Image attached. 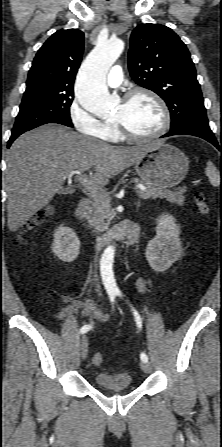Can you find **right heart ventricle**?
Returning <instances> with one entry per match:
<instances>
[{
  "label": "right heart ventricle",
  "instance_id": "1",
  "mask_svg": "<svg viewBox=\"0 0 222 447\" xmlns=\"http://www.w3.org/2000/svg\"><path fill=\"white\" fill-rule=\"evenodd\" d=\"M97 136L107 141H119L123 137L116 125L109 120L101 123V130Z\"/></svg>",
  "mask_w": 222,
  "mask_h": 447
}]
</instances>
